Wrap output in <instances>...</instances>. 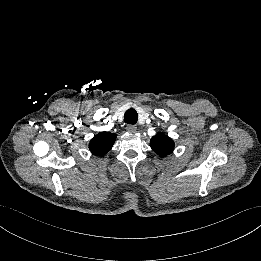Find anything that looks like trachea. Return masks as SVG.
Listing matches in <instances>:
<instances>
[{"label": "trachea", "mask_w": 261, "mask_h": 261, "mask_svg": "<svg viewBox=\"0 0 261 261\" xmlns=\"http://www.w3.org/2000/svg\"><path fill=\"white\" fill-rule=\"evenodd\" d=\"M138 113L135 109H128L124 114V122L134 125L137 123Z\"/></svg>", "instance_id": "obj_1"}]
</instances>
